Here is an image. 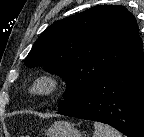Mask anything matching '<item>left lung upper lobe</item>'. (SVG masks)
I'll return each mask as SVG.
<instances>
[{"mask_svg":"<svg viewBox=\"0 0 144 137\" xmlns=\"http://www.w3.org/2000/svg\"><path fill=\"white\" fill-rule=\"evenodd\" d=\"M140 40L132 14L118 5H99L50 25L24 61L44 66L68 84L58 108L83 98Z\"/></svg>","mask_w":144,"mask_h":137,"instance_id":"left-lung-upper-lobe-1","label":"left lung upper lobe"}]
</instances>
